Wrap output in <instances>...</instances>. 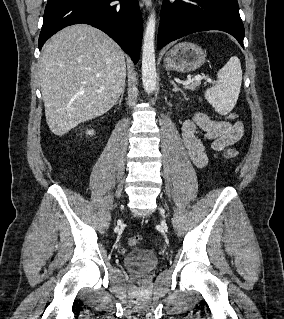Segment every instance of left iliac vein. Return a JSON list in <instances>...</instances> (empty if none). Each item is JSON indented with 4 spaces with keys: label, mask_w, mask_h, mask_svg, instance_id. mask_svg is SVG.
<instances>
[{
    "label": "left iliac vein",
    "mask_w": 284,
    "mask_h": 319,
    "mask_svg": "<svg viewBox=\"0 0 284 319\" xmlns=\"http://www.w3.org/2000/svg\"><path fill=\"white\" fill-rule=\"evenodd\" d=\"M160 211H161L162 215L164 216V211H163V209H162V208H160Z\"/></svg>",
    "instance_id": "4c4485c4"
}]
</instances>
